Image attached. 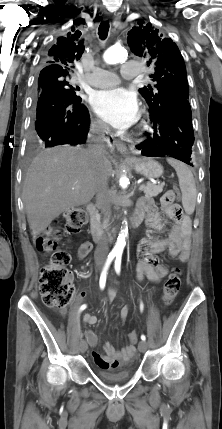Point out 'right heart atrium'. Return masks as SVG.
<instances>
[{
  "instance_id": "right-heart-atrium-1",
  "label": "right heart atrium",
  "mask_w": 222,
  "mask_h": 429,
  "mask_svg": "<svg viewBox=\"0 0 222 429\" xmlns=\"http://www.w3.org/2000/svg\"><path fill=\"white\" fill-rule=\"evenodd\" d=\"M91 127L96 131H103L105 129L104 124L95 118L91 120Z\"/></svg>"
}]
</instances>
